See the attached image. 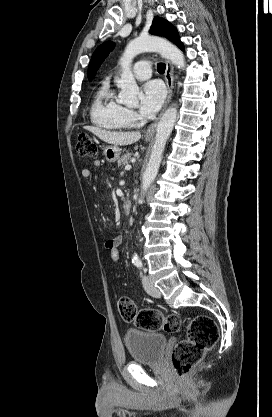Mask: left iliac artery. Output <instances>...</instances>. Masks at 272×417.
Masks as SVG:
<instances>
[{
    "instance_id": "1",
    "label": "left iliac artery",
    "mask_w": 272,
    "mask_h": 417,
    "mask_svg": "<svg viewBox=\"0 0 272 417\" xmlns=\"http://www.w3.org/2000/svg\"><path fill=\"white\" fill-rule=\"evenodd\" d=\"M134 264L138 267V268H142V262L140 260H136L134 262Z\"/></svg>"
}]
</instances>
